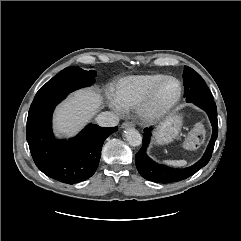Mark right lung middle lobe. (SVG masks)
I'll return each mask as SVG.
<instances>
[{
    "label": "right lung middle lobe",
    "mask_w": 241,
    "mask_h": 241,
    "mask_svg": "<svg viewBox=\"0 0 241 241\" xmlns=\"http://www.w3.org/2000/svg\"><path fill=\"white\" fill-rule=\"evenodd\" d=\"M95 77L94 70L85 71L77 66L67 67L40 88L33 102L64 96L79 88L90 86Z\"/></svg>",
    "instance_id": "obj_1"
}]
</instances>
